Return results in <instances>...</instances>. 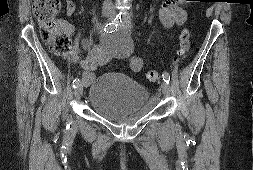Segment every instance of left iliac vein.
Wrapping results in <instances>:
<instances>
[{
	"instance_id": "left-iliac-vein-1",
	"label": "left iliac vein",
	"mask_w": 253,
	"mask_h": 170,
	"mask_svg": "<svg viewBox=\"0 0 253 170\" xmlns=\"http://www.w3.org/2000/svg\"><path fill=\"white\" fill-rule=\"evenodd\" d=\"M115 15L113 14L112 15V18L114 17ZM161 89H162V93L165 95V96H169L170 95V92H171V88H170V85L166 82H163L162 85H161Z\"/></svg>"
}]
</instances>
